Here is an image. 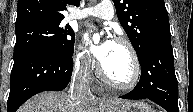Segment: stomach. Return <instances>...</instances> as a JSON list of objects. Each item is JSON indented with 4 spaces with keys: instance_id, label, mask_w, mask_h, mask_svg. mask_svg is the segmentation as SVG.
<instances>
[{
    "instance_id": "obj_1",
    "label": "stomach",
    "mask_w": 193,
    "mask_h": 112,
    "mask_svg": "<svg viewBox=\"0 0 193 112\" xmlns=\"http://www.w3.org/2000/svg\"><path fill=\"white\" fill-rule=\"evenodd\" d=\"M105 112H153V109L144 102L126 101L124 103H116L115 101H107L104 103Z\"/></svg>"
}]
</instances>
